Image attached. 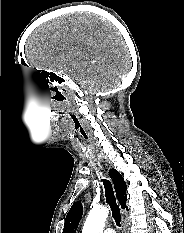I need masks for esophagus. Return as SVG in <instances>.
<instances>
[{
	"label": "esophagus",
	"mask_w": 184,
	"mask_h": 233,
	"mask_svg": "<svg viewBox=\"0 0 184 233\" xmlns=\"http://www.w3.org/2000/svg\"><path fill=\"white\" fill-rule=\"evenodd\" d=\"M122 227H123V233H126V224L124 218H122Z\"/></svg>",
	"instance_id": "1"
}]
</instances>
